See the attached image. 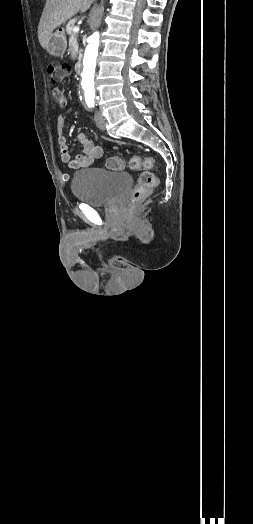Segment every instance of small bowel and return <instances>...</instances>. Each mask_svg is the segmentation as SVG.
Returning <instances> with one entry per match:
<instances>
[{"instance_id": "c3829d8e", "label": "small bowel", "mask_w": 253, "mask_h": 524, "mask_svg": "<svg viewBox=\"0 0 253 524\" xmlns=\"http://www.w3.org/2000/svg\"><path fill=\"white\" fill-rule=\"evenodd\" d=\"M53 97L60 107L64 108L68 104L67 98L58 88L53 90ZM65 118L59 116L56 120V131L58 134V143L60 145L61 160L72 169H82L89 167L94 160L100 159L103 156L104 150L102 146L94 144L85 133H79L78 141L82 145V154L72 157L70 155L67 139L64 136Z\"/></svg>"}]
</instances>
